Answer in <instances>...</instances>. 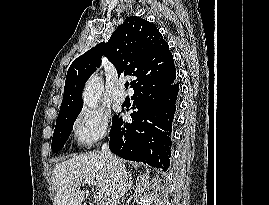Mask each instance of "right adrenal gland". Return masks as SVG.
<instances>
[{
	"label": "right adrenal gland",
	"instance_id": "right-adrenal-gland-1",
	"mask_svg": "<svg viewBox=\"0 0 269 205\" xmlns=\"http://www.w3.org/2000/svg\"><path fill=\"white\" fill-rule=\"evenodd\" d=\"M132 188V173L128 174V185L127 189L130 190Z\"/></svg>",
	"mask_w": 269,
	"mask_h": 205
}]
</instances>
